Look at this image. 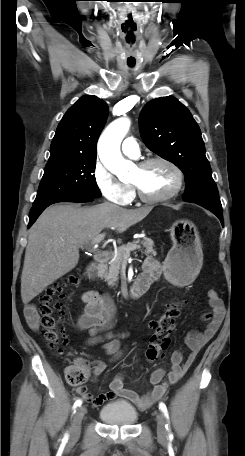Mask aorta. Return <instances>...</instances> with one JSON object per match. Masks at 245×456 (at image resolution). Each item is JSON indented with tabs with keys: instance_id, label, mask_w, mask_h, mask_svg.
I'll list each match as a JSON object with an SVG mask.
<instances>
[{
	"instance_id": "1",
	"label": "aorta",
	"mask_w": 245,
	"mask_h": 456,
	"mask_svg": "<svg viewBox=\"0 0 245 456\" xmlns=\"http://www.w3.org/2000/svg\"><path fill=\"white\" fill-rule=\"evenodd\" d=\"M130 128V120L119 118L104 130L98 141V154L103 165L118 178L126 176L132 162L123 158L120 145Z\"/></svg>"
}]
</instances>
